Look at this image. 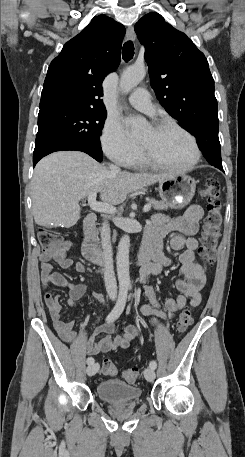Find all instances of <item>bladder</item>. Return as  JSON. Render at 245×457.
<instances>
[{
  "label": "bladder",
  "instance_id": "obj_1",
  "mask_svg": "<svg viewBox=\"0 0 245 457\" xmlns=\"http://www.w3.org/2000/svg\"><path fill=\"white\" fill-rule=\"evenodd\" d=\"M96 393L105 403L120 404L141 398L142 391L121 380H105L98 384Z\"/></svg>",
  "mask_w": 245,
  "mask_h": 457
}]
</instances>
